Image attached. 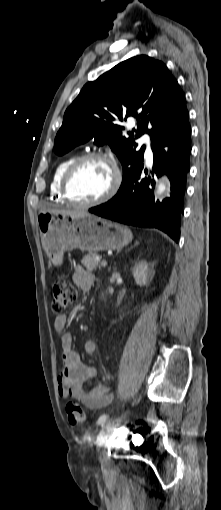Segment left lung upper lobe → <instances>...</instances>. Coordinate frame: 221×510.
Returning <instances> with one entry per match:
<instances>
[{
    "label": "left lung upper lobe",
    "mask_w": 221,
    "mask_h": 510,
    "mask_svg": "<svg viewBox=\"0 0 221 510\" xmlns=\"http://www.w3.org/2000/svg\"><path fill=\"white\" fill-rule=\"evenodd\" d=\"M137 119V127L124 136L119 121ZM189 118L185 96L165 64L146 55L129 58L88 82L67 108L54 151L63 155L94 139L109 144L123 167L120 189L143 160L134 138L148 133L151 140Z\"/></svg>",
    "instance_id": "5c2ea615"
}]
</instances>
